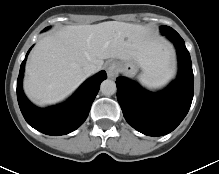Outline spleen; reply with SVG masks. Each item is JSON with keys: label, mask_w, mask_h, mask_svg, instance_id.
I'll return each instance as SVG.
<instances>
[{"label": "spleen", "mask_w": 219, "mask_h": 174, "mask_svg": "<svg viewBox=\"0 0 219 174\" xmlns=\"http://www.w3.org/2000/svg\"><path fill=\"white\" fill-rule=\"evenodd\" d=\"M165 59L156 65L144 69L138 75V81L149 90H158L166 86L174 77V69L171 64L170 53H165Z\"/></svg>", "instance_id": "spleen-1"}]
</instances>
